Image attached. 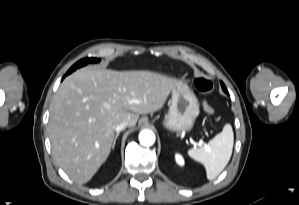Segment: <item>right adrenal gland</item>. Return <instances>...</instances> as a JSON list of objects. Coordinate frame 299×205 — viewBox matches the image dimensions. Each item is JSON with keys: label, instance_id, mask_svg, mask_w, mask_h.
Instances as JSON below:
<instances>
[{"label": "right adrenal gland", "instance_id": "1", "mask_svg": "<svg viewBox=\"0 0 299 205\" xmlns=\"http://www.w3.org/2000/svg\"><path fill=\"white\" fill-rule=\"evenodd\" d=\"M119 136V132L115 135V138H114V141H113V145H112V148L114 149L115 145H116V140Z\"/></svg>", "mask_w": 299, "mask_h": 205}]
</instances>
